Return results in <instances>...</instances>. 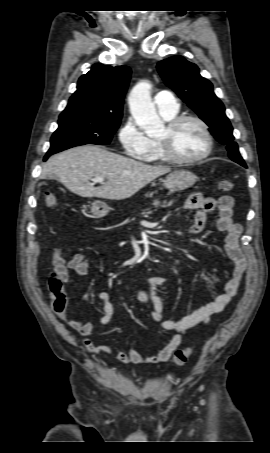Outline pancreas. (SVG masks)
I'll return each instance as SVG.
<instances>
[{
    "label": "pancreas",
    "mask_w": 270,
    "mask_h": 453,
    "mask_svg": "<svg viewBox=\"0 0 270 453\" xmlns=\"http://www.w3.org/2000/svg\"><path fill=\"white\" fill-rule=\"evenodd\" d=\"M173 204V201H170V202H163V205H161L160 201L159 200H154L153 201V206L154 207H159V206H162V207H169Z\"/></svg>",
    "instance_id": "pancreas-1"
}]
</instances>
